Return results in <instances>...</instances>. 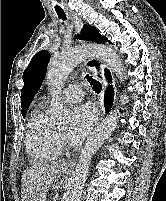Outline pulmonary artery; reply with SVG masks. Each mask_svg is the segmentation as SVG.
Instances as JSON below:
<instances>
[{
  "mask_svg": "<svg viewBox=\"0 0 166 201\" xmlns=\"http://www.w3.org/2000/svg\"><path fill=\"white\" fill-rule=\"evenodd\" d=\"M84 97L83 85L79 83L70 84L62 92L61 98L66 103L79 102Z\"/></svg>",
  "mask_w": 166,
  "mask_h": 201,
  "instance_id": "obj_1",
  "label": "pulmonary artery"
}]
</instances>
